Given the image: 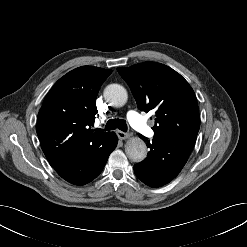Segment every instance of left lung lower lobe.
Segmentation results:
<instances>
[{"label": "left lung lower lobe", "mask_w": 247, "mask_h": 247, "mask_svg": "<svg viewBox=\"0 0 247 247\" xmlns=\"http://www.w3.org/2000/svg\"><path fill=\"white\" fill-rule=\"evenodd\" d=\"M147 147L150 151L146 159L134 166V172L146 185L160 187L172 181L180 173L193 145L183 141L152 140L147 142Z\"/></svg>", "instance_id": "left-lung-lower-lobe-1"}]
</instances>
